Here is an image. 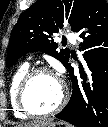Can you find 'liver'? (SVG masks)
I'll list each match as a JSON object with an SVG mask.
<instances>
[{
    "label": "liver",
    "instance_id": "6515ba94",
    "mask_svg": "<svg viewBox=\"0 0 108 127\" xmlns=\"http://www.w3.org/2000/svg\"><path fill=\"white\" fill-rule=\"evenodd\" d=\"M50 122H51V120H40V121H36V122L21 124V125H18L17 127H44L47 124H49Z\"/></svg>",
    "mask_w": 108,
    "mask_h": 127
}]
</instances>
